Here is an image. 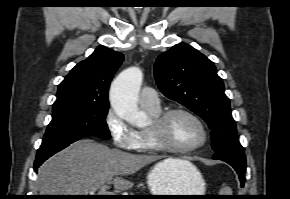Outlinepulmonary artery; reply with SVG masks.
Wrapping results in <instances>:
<instances>
[{"instance_id":"e3ab8cb5","label":"pulmonary artery","mask_w":290,"mask_h":199,"mask_svg":"<svg viewBox=\"0 0 290 199\" xmlns=\"http://www.w3.org/2000/svg\"><path fill=\"white\" fill-rule=\"evenodd\" d=\"M139 103L145 109L158 110L160 109V99L156 91L148 86L141 89L139 94Z\"/></svg>"}]
</instances>
